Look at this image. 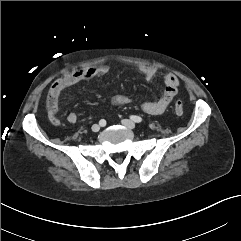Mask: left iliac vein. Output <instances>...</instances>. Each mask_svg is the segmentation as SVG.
Here are the masks:
<instances>
[{
    "label": "left iliac vein",
    "instance_id": "4c4485c4",
    "mask_svg": "<svg viewBox=\"0 0 241 241\" xmlns=\"http://www.w3.org/2000/svg\"><path fill=\"white\" fill-rule=\"evenodd\" d=\"M122 124L130 129H134L136 127L135 123L129 119L122 120Z\"/></svg>",
    "mask_w": 241,
    "mask_h": 241
}]
</instances>
